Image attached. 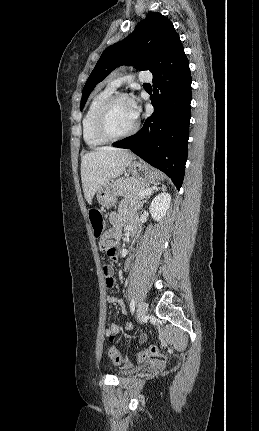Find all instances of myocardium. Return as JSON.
I'll use <instances>...</instances> for the list:
<instances>
[{"label": "myocardium", "mask_w": 259, "mask_h": 431, "mask_svg": "<svg viewBox=\"0 0 259 431\" xmlns=\"http://www.w3.org/2000/svg\"><path fill=\"white\" fill-rule=\"evenodd\" d=\"M127 98L128 96L125 93H112L98 107L94 117V128L96 134L100 138L107 141H115L130 137L138 131L140 125L138 119H136L133 127L124 133L116 134L112 132L109 128L108 119L112 106L117 101Z\"/></svg>", "instance_id": "f54148a6"}]
</instances>
